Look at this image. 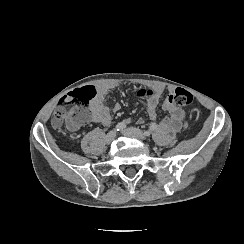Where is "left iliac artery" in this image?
Returning <instances> with one entry per match:
<instances>
[{
    "label": "left iliac artery",
    "mask_w": 244,
    "mask_h": 244,
    "mask_svg": "<svg viewBox=\"0 0 244 244\" xmlns=\"http://www.w3.org/2000/svg\"><path fill=\"white\" fill-rule=\"evenodd\" d=\"M157 128V124L156 123H152L149 127V130L145 131V135H149L152 131H154Z\"/></svg>",
    "instance_id": "obj_1"
}]
</instances>
